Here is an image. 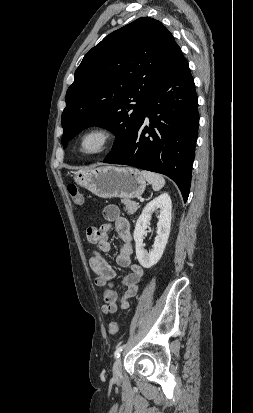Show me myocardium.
Segmentation results:
<instances>
[{"mask_svg":"<svg viewBox=\"0 0 253 413\" xmlns=\"http://www.w3.org/2000/svg\"><path fill=\"white\" fill-rule=\"evenodd\" d=\"M90 135H97L100 137L101 141L99 146L92 150V151H85L82 148V142L83 140ZM117 141V134L113 129H111L108 126L105 125H92L87 128H85L83 131H81L77 137L76 140V145H77V150L80 154L85 155V156H94L98 155L101 153L106 152L110 148L113 147V145Z\"/></svg>","mask_w":253,"mask_h":413,"instance_id":"myocardium-1","label":"myocardium"}]
</instances>
